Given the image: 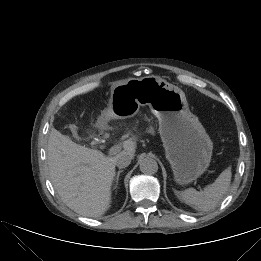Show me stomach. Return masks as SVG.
Here are the masks:
<instances>
[{
	"label": "stomach",
	"instance_id": "obj_1",
	"mask_svg": "<svg viewBox=\"0 0 261 261\" xmlns=\"http://www.w3.org/2000/svg\"><path fill=\"white\" fill-rule=\"evenodd\" d=\"M149 106L159 121V134L174 180L187 185L209 167L213 142L198 117L189 110L184 92L158 76L130 78L112 88L103 117L126 119Z\"/></svg>",
	"mask_w": 261,
	"mask_h": 261
}]
</instances>
